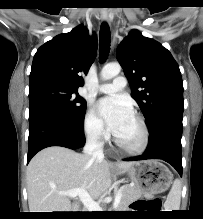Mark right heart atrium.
Returning a JSON list of instances; mask_svg holds the SVG:
<instances>
[{
    "label": "right heart atrium",
    "instance_id": "d8ad5b80",
    "mask_svg": "<svg viewBox=\"0 0 203 219\" xmlns=\"http://www.w3.org/2000/svg\"><path fill=\"white\" fill-rule=\"evenodd\" d=\"M83 128L86 138L96 144L103 143L108 136L102 120L92 109L85 116Z\"/></svg>",
    "mask_w": 203,
    "mask_h": 219
}]
</instances>
